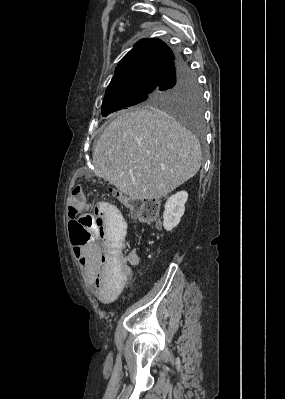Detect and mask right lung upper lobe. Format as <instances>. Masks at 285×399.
Listing matches in <instances>:
<instances>
[{"label": "right lung upper lobe", "instance_id": "right-lung-upper-lobe-1", "mask_svg": "<svg viewBox=\"0 0 285 399\" xmlns=\"http://www.w3.org/2000/svg\"><path fill=\"white\" fill-rule=\"evenodd\" d=\"M174 60L172 50L160 39L139 41L117 65L105 96L139 89H157Z\"/></svg>", "mask_w": 285, "mask_h": 399}]
</instances>
